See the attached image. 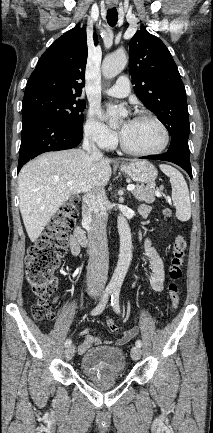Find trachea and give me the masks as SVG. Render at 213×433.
I'll return each mask as SVG.
<instances>
[{
  "instance_id": "1",
  "label": "trachea",
  "mask_w": 213,
  "mask_h": 433,
  "mask_svg": "<svg viewBox=\"0 0 213 433\" xmlns=\"http://www.w3.org/2000/svg\"><path fill=\"white\" fill-rule=\"evenodd\" d=\"M117 21H118L117 9L115 7L111 8V9H108V11H107V22H108V24L113 27V26H115L117 24Z\"/></svg>"
}]
</instances>
